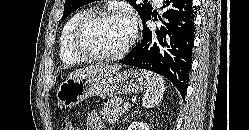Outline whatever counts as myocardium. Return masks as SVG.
<instances>
[{"mask_svg": "<svg viewBox=\"0 0 249 130\" xmlns=\"http://www.w3.org/2000/svg\"><path fill=\"white\" fill-rule=\"evenodd\" d=\"M121 15L120 12L115 11L113 9H95L88 12L85 16L81 18L78 22L72 38V50L73 52L84 60H92V61H115L123 58L132 47L133 43L136 40L137 34L134 29L130 39L125 43V45L117 52L112 54H100L89 50L84 44V33L86 28L90 23L95 21L100 17H111Z\"/></svg>", "mask_w": 249, "mask_h": 130, "instance_id": "1", "label": "myocardium"}]
</instances>
